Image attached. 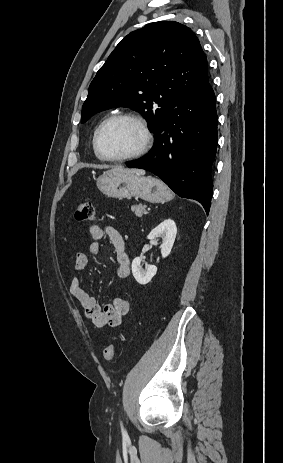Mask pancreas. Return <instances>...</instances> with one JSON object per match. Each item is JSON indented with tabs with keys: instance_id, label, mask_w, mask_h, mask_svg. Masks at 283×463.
Here are the masks:
<instances>
[{
	"instance_id": "1",
	"label": "pancreas",
	"mask_w": 283,
	"mask_h": 463,
	"mask_svg": "<svg viewBox=\"0 0 283 463\" xmlns=\"http://www.w3.org/2000/svg\"><path fill=\"white\" fill-rule=\"evenodd\" d=\"M131 210L135 213L136 217H142L144 214H146V206L143 204L139 205H133L131 207Z\"/></svg>"
}]
</instances>
